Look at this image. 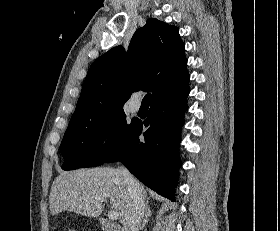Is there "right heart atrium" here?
Here are the masks:
<instances>
[{
    "label": "right heart atrium",
    "instance_id": "d8ad5b80",
    "mask_svg": "<svg viewBox=\"0 0 280 231\" xmlns=\"http://www.w3.org/2000/svg\"><path fill=\"white\" fill-rule=\"evenodd\" d=\"M118 141V130L116 127H107L99 136L98 145L102 153L110 152L115 148Z\"/></svg>",
    "mask_w": 280,
    "mask_h": 231
}]
</instances>
